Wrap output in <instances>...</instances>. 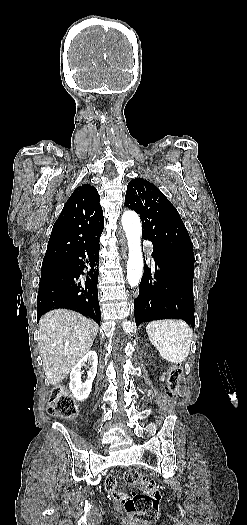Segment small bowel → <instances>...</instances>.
Instances as JSON below:
<instances>
[{"instance_id":"1","label":"small bowel","mask_w":247,"mask_h":525,"mask_svg":"<svg viewBox=\"0 0 247 525\" xmlns=\"http://www.w3.org/2000/svg\"><path fill=\"white\" fill-rule=\"evenodd\" d=\"M161 380L163 381L164 378L161 377ZM108 479L109 480H107L105 483L107 491L109 493L121 494V491H116V483L114 480L111 479V476H108ZM115 501H125V496H115Z\"/></svg>"}]
</instances>
